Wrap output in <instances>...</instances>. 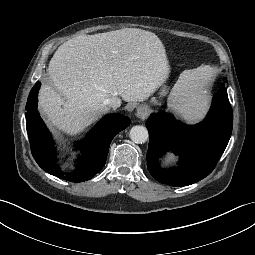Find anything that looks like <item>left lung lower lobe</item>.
<instances>
[{
	"label": "left lung lower lobe",
	"instance_id": "0a47b994",
	"mask_svg": "<svg viewBox=\"0 0 255 255\" xmlns=\"http://www.w3.org/2000/svg\"><path fill=\"white\" fill-rule=\"evenodd\" d=\"M232 126L233 112L224 86L213 97L207 117L197 125H185L164 112L151 115L146 123L150 174L170 186L200 181L215 168L229 142ZM166 151L180 157L177 167L167 170L159 166V158Z\"/></svg>",
	"mask_w": 255,
	"mask_h": 255
}]
</instances>
